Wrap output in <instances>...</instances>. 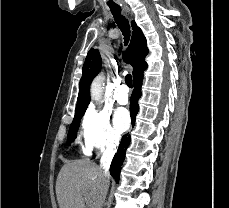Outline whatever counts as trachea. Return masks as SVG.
Here are the masks:
<instances>
[{"label":"trachea","instance_id":"3493384b","mask_svg":"<svg viewBox=\"0 0 229 208\" xmlns=\"http://www.w3.org/2000/svg\"><path fill=\"white\" fill-rule=\"evenodd\" d=\"M111 13L114 17L115 22L120 28L122 34L124 35V43L127 44L130 39V26L127 18L121 14L120 7H110ZM125 83L129 88L133 87V80L130 74H127L125 77Z\"/></svg>","mask_w":229,"mask_h":208}]
</instances>
